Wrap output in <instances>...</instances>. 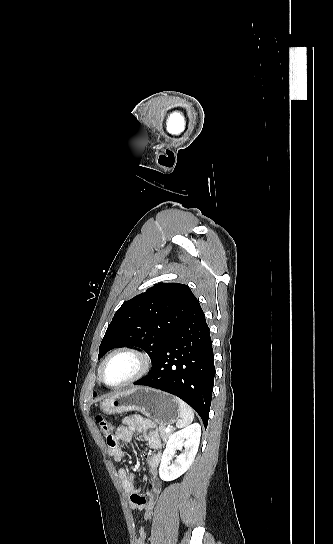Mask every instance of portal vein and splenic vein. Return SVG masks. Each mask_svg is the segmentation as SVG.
<instances>
[{
	"label": "portal vein and splenic vein",
	"mask_w": 333,
	"mask_h": 544,
	"mask_svg": "<svg viewBox=\"0 0 333 544\" xmlns=\"http://www.w3.org/2000/svg\"><path fill=\"white\" fill-rule=\"evenodd\" d=\"M165 431H166V432H170V431H171L170 426H167V427L165 428Z\"/></svg>",
	"instance_id": "obj_1"
}]
</instances>
